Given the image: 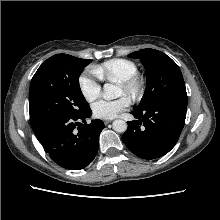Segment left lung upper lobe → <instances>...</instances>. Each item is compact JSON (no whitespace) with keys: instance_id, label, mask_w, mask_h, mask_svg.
<instances>
[{"instance_id":"5c2ea615","label":"left lung upper lobe","mask_w":220,"mask_h":220,"mask_svg":"<svg viewBox=\"0 0 220 220\" xmlns=\"http://www.w3.org/2000/svg\"><path fill=\"white\" fill-rule=\"evenodd\" d=\"M129 56L140 58L147 71L145 93L135 110H144L164 98L186 94L180 68L169 56L149 48L135 51Z\"/></svg>"}]
</instances>
